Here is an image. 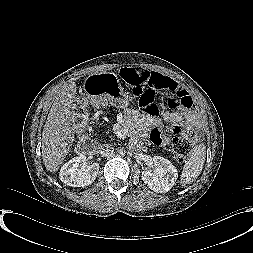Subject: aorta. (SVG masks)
Segmentation results:
<instances>
[{
	"instance_id": "1",
	"label": "aorta",
	"mask_w": 253,
	"mask_h": 253,
	"mask_svg": "<svg viewBox=\"0 0 253 253\" xmlns=\"http://www.w3.org/2000/svg\"><path fill=\"white\" fill-rule=\"evenodd\" d=\"M118 155L119 156H124L125 155V150L124 149H119L118 150Z\"/></svg>"
}]
</instances>
